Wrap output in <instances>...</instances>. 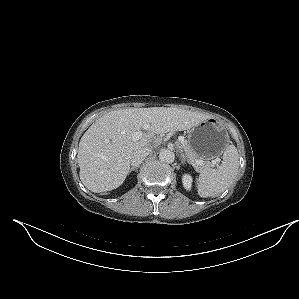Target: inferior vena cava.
I'll use <instances>...</instances> for the list:
<instances>
[{"mask_svg": "<svg viewBox=\"0 0 299 299\" xmlns=\"http://www.w3.org/2000/svg\"><path fill=\"white\" fill-rule=\"evenodd\" d=\"M151 152L152 149L148 147L135 151L131 156V165L138 167Z\"/></svg>", "mask_w": 299, "mask_h": 299, "instance_id": "obj_1", "label": "inferior vena cava"}]
</instances>
